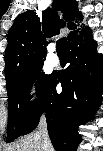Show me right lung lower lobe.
<instances>
[{
  "label": "right lung lower lobe",
  "mask_w": 103,
  "mask_h": 151,
  "mask_svg": "<svg viewBox=\"0 0 103 151\" xmlns=\"http://www.w3.org/2000/svg\"><path fill=\"white\" fill-rule=\"evenodd\" d=\"M88 28L67 45L70 65L54 73L41 107L23 135L32 132L44 112L49 137L56 151H76L80 142L78 127L90 120L101 103L103 88L102 56ZM60 82L62 92L56 91Z\"/></svg>",
  "instance_id": "right-lung-lower-lobe-1"
}]
</instances>
